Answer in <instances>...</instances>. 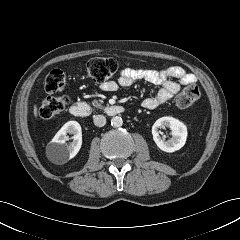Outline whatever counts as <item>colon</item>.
<instances>
[{"mask_svg":"<svg viewBox=\"0 0 240 240\" xmlns=\"http://www.w3.org/2000/svg\"><path fill=\"white\" fill-rule=\"evenodd\" d=\"M119 69V63L114 58H94L85 67L88 79L94 83H102L109 80ZM66 75L62 70H52L46 77L45 89L53 93L61 91L66 86ZM201 89L196 84H190L177 97V105L180 108H188L201 98ZM68 98L66 96L50 97L46 99L40 109L42 119H51L60 114L66 108Z\"/></svg>","mask_w":240,"mask_h":240,"instance_id":"obj_1","label":"colon"}]
</instances>
